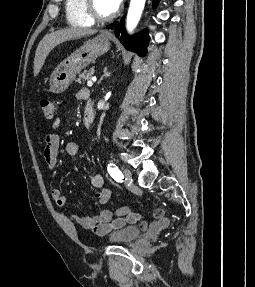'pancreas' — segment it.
I'll list each match as a JSON object with an SVG mask.
<instances>
[{"mask_svg":"<svg viewBox=\"0 0 255 287\" xmlns=\"http://www.w3.org/2000/svg\"><path fill=\"white\" fill-rule=\"evenodd\" d=\"M94 72V68H90V70H84L83 74H79L76 82H78V84H83V82H86V80H92Z\"/></svg>","mask_w":255,"mask_h":287,"instance_id":"cf45deb5","label":"pancreas"}]
</instances>
